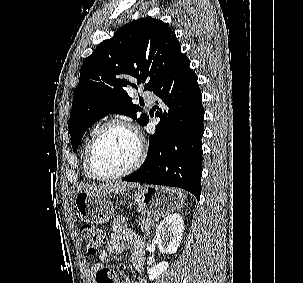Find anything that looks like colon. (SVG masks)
Here are the masks:
<instances>
[{
  "instance_id": "1",
  "label": "colon",
  "mask_w": 303,
  "mask_h": 283,
  "mask_svg": "<svg viewBox=\"0 0 303 283\" xmlns=\"http://www.w3.org/2000/svg\"><path fill=\"white\" fill-rule=\"evenodd\" d=\"M80 236L86 252L90 255L98 254L106 239V234L92 225H83ZM96 283H118L117 274L111 269L102 268L96 274Z\"/></svg>"
}]
</instances>
